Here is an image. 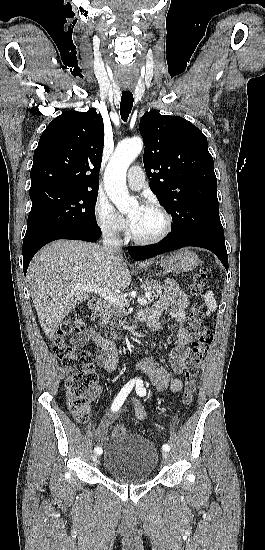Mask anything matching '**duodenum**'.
I'll list each match as a JSON object with an SVG mask.
<instances>
[{
    "label": "duodenum",
    "instance_id": "obj_1",
    "mask_svg": "<svg viewBox=\"0 0 265 550\" xmlns=\"http://www.w3.org/2000/svg\"><path fill=\"white\" fill-rule=\"evenodd\" d=\"M89 310L92 311V312H96L100 309L101 307V301L98 300V299H93L89 302ZM123 342H125V339L123 340Z\"/></svg>",
    "mask_w": 265,
    "mask_h": 550
}]
</instances>
